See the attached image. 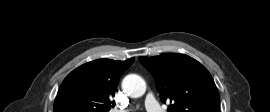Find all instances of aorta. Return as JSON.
<instances>
[{"instance_id":"762f6f07","label":"aorta","mask_w":270,"mask_h":112,"mask_svg":"<svg viewBox=\"0 0 270 112\" xmlns=\"http://www.w3.org/2000/svg\"><path fill=\"white\" fill-rule=\"evenodd\" d=\"M123 91L130 97H141L146 91L145 80L136 74H129L122 81Z\"/></svg>"}]
</instances>
